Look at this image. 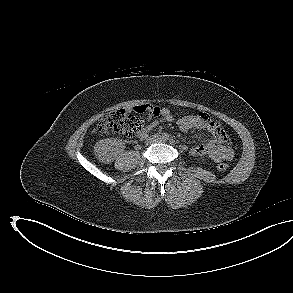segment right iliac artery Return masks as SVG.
<instances>
[{
    "mask_svg": "<svg viewBox=\"0 0 293 293\" xmlns=\"http://www.w3.org/2000/svg\"><path fill=\"white\" fill-rule=\"evenodd\" d=\"M163 139L168 140L169 139V135L167 133L163 134Z\"/></svg>",
    "mask_w": 293,
    "mask_h": 293,
    "instance_id": "1",
    "label": "right iliac artery"
}]
</instances>
